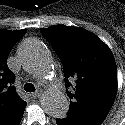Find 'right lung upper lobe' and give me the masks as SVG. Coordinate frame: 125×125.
I'll return each instance as SVG.
<instances>
[{
	"instance_id": "right-lung-upper-lobe-1",
	"label": "right lung upper lobe",
	"mask_w": 125,
	"mask_h": 125,
	"mask_svg": "<svg viewBox=\"0 0 125 125\" xmlns=\"http://www.w3.org/2000/svg\"><path fill=\"white\" fill-rule=\"evenodd\" d=\"M27 30L0 29V120L24 105L12 86L14 74L7 66V58L15 43L26 34Z\"/></svg>"
}]
</instances>
